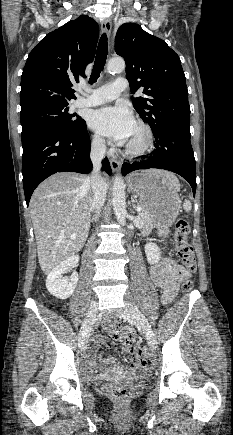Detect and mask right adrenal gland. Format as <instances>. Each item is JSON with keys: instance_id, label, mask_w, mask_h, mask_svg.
Wrapping results in <instances>:
<instances>
[{"instance_id": "1", "label": "right adrenal gland", "mask_w": 233, "mask_h": 435, "mask_svg": "<svg viewBox=\"0 0 233 435\" xmlns=\"http://www.w3.org/2000/svg\"><path fill=\"white\" fill-rule=\"evenodd\" d=\"M97 218H98L97 216H93V217L91 218V220H90V221H91V222H94V221H96V220H97Z\"/></svg>"}]
</instances>
